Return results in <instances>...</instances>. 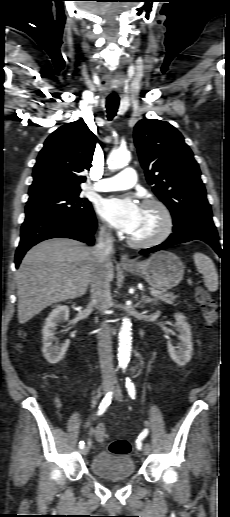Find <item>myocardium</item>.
Here are the masks:
<instances>
[{"label":"myocardium","instance_id":"f54148a6","mask_svg":"<svg viewBox=\"0 0 230 517\" xmlns=\"http://www.w3.org/2000/svg\"><path fill=\"white\" fill-rule=\"evenodd\" d=\"M154 206L161 214L162 227L160 231L148 239H136L132 236L128 237V242L133 247L148 248L156 246L164 242L173 232L174 218L169 207L158 198H148L143 201L142 207Z\"/></svg>","mask_w":230,"mask_h":517}]
</instances>
